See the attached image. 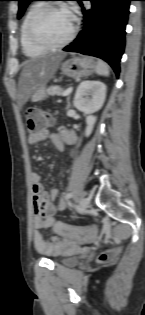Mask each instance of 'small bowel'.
<instances>
[{"mask_svg":"<svg viewBox=\"0 0 145 315\" xmlns=\"http://www.w3.org/2000/svg\"><path fill=\"white\" fill-rule=\"evenodd\" d=\"M49 132L44 129L37 131L28 136V143L33 145L46 139ZM50 140L53 146L62 151L66 143H71L75 140V135L65 128H60L56 133L50 135ZM32 194L34 200V221H33V244L35 249L46 255L65 254L76 251L80 245L89 242L92 238L82 239H62L52 237L47 240L44 236L42 229L54 227L56 224L61 223L55 218V213L58 210H64L67 207L65 199H60L57 204L53 201L58 195L56 188H51L47 192H43V185L39 173H31Z\"/></svg>","mask_w":145,"mask_h":315,"instance_id":"small-bowel-1","label":"small bowel"}]
</instances>
